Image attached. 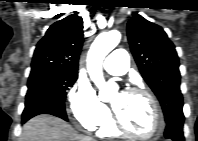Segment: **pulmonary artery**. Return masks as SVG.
Masks as SVG:
<instances>
[{
  "label": "pulmonary artery",
  "mask_w": 198,
  "mask_h": 141,
  "mask_svg": "<svg viewBox=\"0 0 198 141\" xmlns=\"http://www.w3.org/2000/svg\"><path fill=\"white\" fill-rule=\"evenodd\" d=\"M129 54L125 49L113 50L104 60L103 66L107 72L113 75H123L129 68Z\"/></svg>",
  "instance_id": "pulmonary-artery-1"
}]
</instances>
